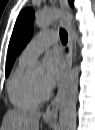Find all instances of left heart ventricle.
Listing matches in <instances>:
<instances>
[{
  "mask_svg": "<svg viewBox=\"0 0 95 130\" xmlns=\"http://www.w3.org/2000/svg\"><path fill=\"white\" fill-rule=\"evenodd\" d=\"M34 81L40 85H43L44 86V76L43 75H40L36 78H34Z\"/></svg>",
  "mask_w": 95,
  "mask_h": 130,
  "instance_id": "1",
  "label": "left heart ventricle"
}]
</instances>
